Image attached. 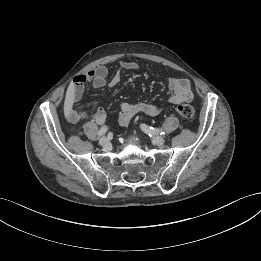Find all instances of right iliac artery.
<instances>
[{"label":"right iliac artery","instance_id":"right-iliac-artery-1","mask_svg":"<svg viewBox=\"0 0 261 261\" xmlns=\"http://www.w3.org/2000/svg\"><path fill=\"white\" fill-rule=\"evenodd\" d=\"M107 130H108V127L103 126V127L98 131V136L100 137V136L104 135V134L107 132Z\"/></svg>","mask_w":261,"mask_h":261}]
</instances>
